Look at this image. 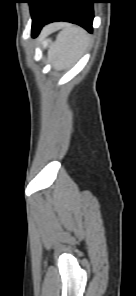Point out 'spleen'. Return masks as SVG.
Segmentation results:
<instances>
[{
  "instance_id": "1",
  "label": "spleen",
  "mask_w": 136,
  "mask_h": 296,
  "mask_svg": "<svg viewBox=\"0 0 136 296\" xmlns=\"http://www.w3.org/2000/svg\"><path fill=\"white\" fill-rule=\"evenodd\" d=\"M89 44V37L80 27H67L63 30L53 47V62L62 69L75 63ZM47 45V42H44Z\"/></svg>"
}]
</instances>
